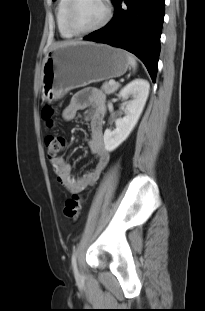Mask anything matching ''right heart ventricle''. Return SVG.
<instances>
[{"label": "right heart ventricle", "mask_w": 205, "mask_h": 311, "mask_svg": "<svg viewBox=\"0 0 205 311\" xmlns=\"http://www.w3.org/2000/svg\"><path fill=\"white\" fill-rule=\"evenodd\" d=\"M69 0H59L56 8V23L60 35L63 38L70 39L75 35L70 31L66 23V10Z\"/></svg>", "instance_id": "obj_1"}]
</instances>
